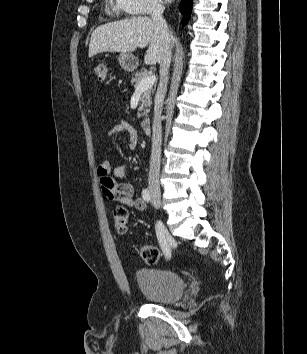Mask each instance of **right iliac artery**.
<instances>
[{"mask_svg": "<svg viewBox=\"0 0 307 354\" xmlns=\"http://www.w3.org/2000/svg\"><path fill=\"white\" fill-rule=\"evenodd\" d=\"M142 197L146 202L150 201L151 196H150V192L147 188L142 191ZM156 235H157L159 244H160L166 258H170L171 257V250H170L169 244H168L166 237H165L164 226L162 225L161 222H158L156 224Z\"/></svg>", "mask_w": 307, "mask_h": 354, "instance_id": "82829eb1", "label": "right iliac artery"}]
</instances>
